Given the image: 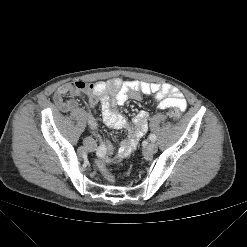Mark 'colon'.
<instances>
[{"label":"colon","instance_id":"obj_1","mask_svg":"<svg viewBox=\"0 0 247 247\" xmlns=\"http://www.w3.org/2000/svg\"><path fill=\"white\" fill-rule=\"evenodd\" d=\"M168 115L175 121L179 120L180 118V112L177 109H172L168 112ZM98 168L101 172V174L110 182L114 180L113 175L110 173V171L106 168L105 164L102 161H98L97 163Z\"/></svg>","mask_w":247,"mask_h":247}]
</instances>
